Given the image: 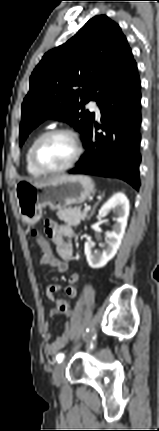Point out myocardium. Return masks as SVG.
Listing matches in <instances>:
<instances>
[{"label": "myocardium", "instance_id": "f54148a6", "mask_svg": "<svg viewBox=\"0 0 159 431\" xmlns=\"http://www.w3.org/2000/svg\"><path fill=\"white\" fill-rule=\"evenodd\" d=\"M68 135L75 146V153L72 159L63 167L60 168H49L44 166L38 159V150L40 145L49 137L54 135ZM83 154V146L79 135L72 129L66 127H58L45 131L42 133L34 142L31 150V159L36 168H38L41 172L45 174H57L63 173L69 169H71L81 158Z\"/></svg>", "mask_w": 159, "mask_h": 431}]
</instances>
